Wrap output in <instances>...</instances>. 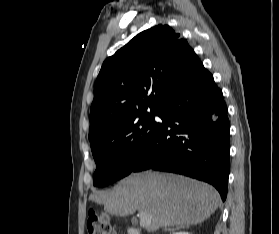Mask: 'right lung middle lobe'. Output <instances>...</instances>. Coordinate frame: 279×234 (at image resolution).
Listing matches in <instances>:
<instances>
[{"instance_id":"right-lung-middle-lobe-1","label":"right lung middle lobe","mask_w":279,"mask_h":234,"mask_svg":"<svg viewBox=\"0 0 279 234\" xmlns=\"http://www.w3.org/2000/svg\"><path fill=\"white\" fill-rule=\"evenodd\" d=\"M158 108L136 112L110 134L90 144L96 162L93 184L107 186L133 171L145 153L156 127Z\"/></svg>"}]
</instances>
